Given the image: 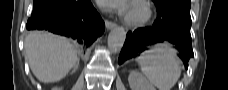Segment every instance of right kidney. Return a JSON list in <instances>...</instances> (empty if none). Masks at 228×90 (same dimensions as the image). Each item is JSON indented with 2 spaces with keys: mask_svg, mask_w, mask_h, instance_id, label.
<instances>
[{
  "mask_svg": "<svg viewBox=\"0 0 228 90\" xmlns=\"http://www.w3.org/2000/svg\"><path fill=\"white\" fill-rule=\"evenodd\" d=\"M60 88H53V90H59Z\"/></svg>",
  "mask_w": 228,
  "mask_h": 90,
  "instance_id": "obj_1",
  "label": "right kidney"
}]
</instances>
